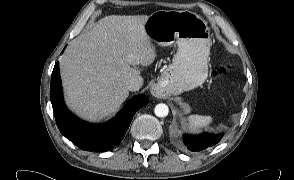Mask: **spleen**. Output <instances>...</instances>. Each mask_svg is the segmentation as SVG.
<instances>
[{"mask_svg": "<svg viewBox=\"0 0 294 180\" xmlns=\"http://www.w3.org/2000/svg\"><path fill=\"white\" fill-rule=\"evenodd\" d=\"M188 126L191 130L207 127L212 122L211 116L190 115L187 117Z\"/></svg>", "mask_w": 294, "mask_h": 180, "instance_id": "1", "label": "spleen"}]
</instances>
